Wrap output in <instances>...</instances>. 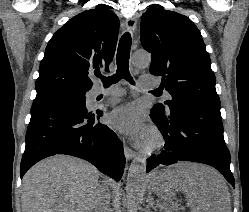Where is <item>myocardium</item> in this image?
<instances>
[{
    "mask_svg": "<svg viewBox=\"0 0 249 212\" xmlns=\"http://www.w3.org/2000/svg\"><path fill=\"white\" fill-rule=\"evenodd\" d=\"M165 140L160 130L152 126L147 132V140L144 145L146 152H154L164 146Z\"/></svg>",
    "mask_w": 249,
    "mask_h": 212,
    "instance_id": "1",
    "label": "myocardium"
}]
</instances>
